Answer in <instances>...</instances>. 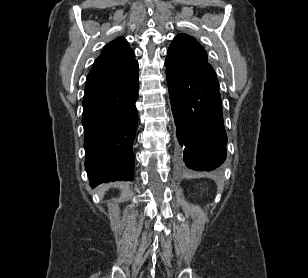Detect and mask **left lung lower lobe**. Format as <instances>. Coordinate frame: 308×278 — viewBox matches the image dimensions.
Segmentation results:
<instances>
[{"instance_id":"1","label":"left lung lower lobe","mask_w":308,"mask_h":278,"mask_svg":"<svg viewBox=\"0 0 308 278\" xmlns=\"http://www.w3.org/2000/svg\"><path fill=\"white\" fill-rule=\"evenodd\" d=\"M180 155L188 168L211 171L226 159L219 83L209 63L190 69L166 67Z\"/></svg>"}]
</instances>
